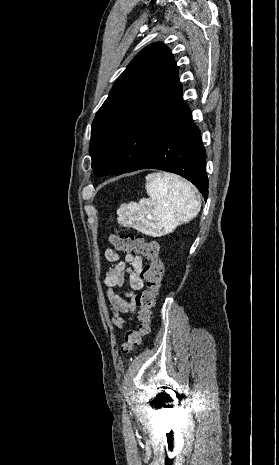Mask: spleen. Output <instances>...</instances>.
Wrapping results in <instances>:
<instances>
[{
  "label": "spleen",
  "mask_w": 279,
  "mask_h": 465,
  "mask_svg": "<svg viewBox=\"0 0 279 465\" xmlns=\"http://www.w3.org/2000/svg\"><path fill=\"white\" fill-rule=\"evenodd\" d=\"M149 198L122 204L117 210L118 223L145 234L168 233L195 218L201 199L195 187L171 173L146 176Z\"/></svg>",
  "instance_id": "1"
}]
</instances>
